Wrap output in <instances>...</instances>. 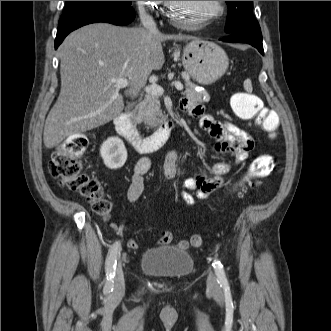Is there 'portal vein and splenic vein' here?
<instances>
[{"label":"portal vein and splenic vein","instance_id":"18ae733b","mask_svg":"<svg viewBox=\"0 0 331 331\" xmlns=\"http://www.w3.org/2000/svg\"><path fill=\"white\" fill-rule=\"evenodd\" d=\"M115 83L116 88H126L129 86V81L126 78H118L113 81ZM172 85L175 86L177 90H183V85L180 82H173ZM145 92L148 94H153V95H163L164 90L161 86L153 83L149 86L145 87Z\"/></svg>","mask_w":331,"mask_h":331}]
</instances>
